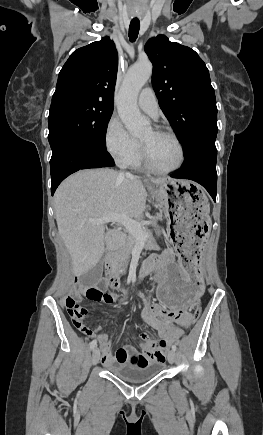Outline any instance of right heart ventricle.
I'll use <instances>...</instances> for the list:
<instances>
[{"instance_id": "obj_1", "label": "right heart ventricle", "mask_w": 263, "mask_h": 435, "mask_svg": "<svg viewBox=\"0 0 263 435\" xmlns=\"http://www.w3.org/2000/svg\"><path fill=\"white\" fill-rule=\"evenodd\" d=\"M131 166L135 169H143L144 163L142 159V153L139 155V157L131 164Z\"/></svg>"}]
</instances>
